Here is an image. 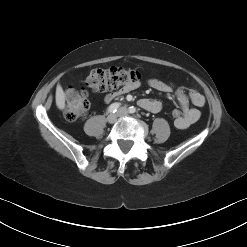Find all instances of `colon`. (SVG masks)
Listing matches in <instances>:
<instances>
[{"mask_svg":"<svg viewBox=\"0 0 247 247\" xmlns=\"http://www.w3.org/2000/svg\"><path fill=\"white\" fill-rule=\"evenodd\" d=\"M141 75L138 71L123 68L111 67L108 69H94L82 81L85 88L96 92H104L115 89H121L130 84L139 82ZM85 88L68 87L65 90L66 105L64 117L67 121L74 122L83 116L89 110L88 94ZM182 113L178 109L172 111V117L177 120Z\"/></svg>","mask_w":247,"mask_h":247,"instance_id":"obj_1","label":"colon"}]
</instances>
